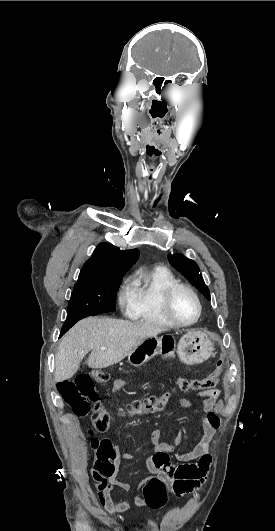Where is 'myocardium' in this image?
Segmentation results:
<instances>
[{
	"label": "myocardium",
	"mask_w": 275,
	"mask_h": 531,
	"mask_svg": "<svg viewBox=\"0 0 275 531\" xmlns=\"http://www.w3.org/2000/svg\"><path fill=\"white\" fill-rule=\"evenodd\" d=\"M178 290H184V291L188 292L194 298V300H195V302L197 304V308H198L197 315H196L195 319L190 321V322H181V321H179L174 316V314L172 312L171 301H172V298H173L174 294ZM162 309H163V312H164L165 316L175 326H178V327H188V326H192V325L196 324L200 320V318L202 316V312H203L202 303H201V300H200L199 296L197 295V293L190 286H188L186 284H183V283H179V282L173 283V284L169 285L165 289V291L163 293V296H162Z\"/></svg>",
	"instance_id": "f54148a6"
}]
</instances>
